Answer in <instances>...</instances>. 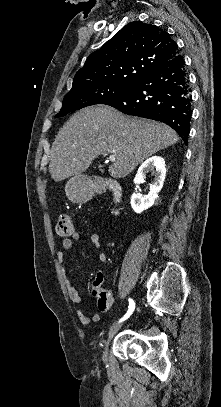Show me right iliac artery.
<instances>
[{
	"instance_id": "obj_1",
	"label": "right iliac artery",
	"mask_w": 221,
	"mask_h": 407,
	"mask_svg": "<svg viewBox=\"0 0 221 407\" xmlns=\"http://www.w3.org/2000/svg\"><path fill=\"white\" fill-rule=\"evenodd\" d=\"M134 309H135V303L132 299H129V309H128L127 313L124 315V317L120 319L119 322H122V321L126 320L127 318H129V316L132 314Z\"/></svg>"
}]
</instances>
